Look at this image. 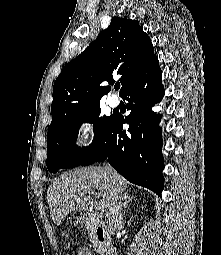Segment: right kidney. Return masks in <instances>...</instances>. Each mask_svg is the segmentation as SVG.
I'll return each mask as SVG.
<instances>
[{"instance_id":"1","label":"right kidney","mask_w":221,"mask_h":255,"mask_svg":"<svg viewBox=\"0 0 221 255\" xmlns=\"http://www.w3.org/2000/svg\"><path fill=\"white\" fill-rule=\"evenodd\" d=\"M131 219H132V217L130 218V220L128 221V226H130V223H131Z\"/></svg>"}]
</instances>
